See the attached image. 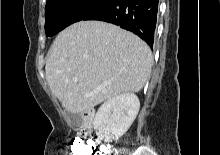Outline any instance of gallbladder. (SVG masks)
Masks as SVG:
<instances>
[{"label": "gallbladder", "instance_id": "bac80fb5", "mask_svg": "<svg viewBox=\"0 0 220 155\" xmlns=\"http://www.w3.org/2000/svg\"><path fill=\"white\" fill-rule=\"evenodd\" d=\"M68 118L71 121V125L74 129H77L76 123L78 121V115L72 114V113H68Z\"/></svg>", "mask_w": 220, "mask_h": 155}]
</instances>
